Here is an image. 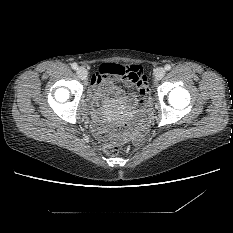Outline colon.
I'll use <instances>...</instances> for the list:
<instances>
[{
    "label": "colon",
    "mask_w": 233,
    "mask_h": 233,
    "mask_svg": "<svg viewBox=\"0 0 233 233\" xmlns=\"http://www.w3.org/2000/svg\"><path fill=\"white\" fill-rule=\"evenodd\" d=\"M131 82H132L135 86L139 87V86H138L139 83H138L137 78H133V79L131 80ZM138 91L140 92V89H138ZM128 144H129V141H128L127 139L121 140L120 143H106V144H104V146H103V151H104L106 154H108V155H116V154L119 153V151H120L121 149H123L124 147L128 146Z\"/></svg>",
    "instance_id": "colon-1"
}]
</instances>
